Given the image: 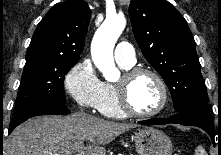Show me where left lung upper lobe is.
I'll return each instance as SVG.
<instances>
[{
  "mask_svg": "<svg viewBox=\"0 0 221 155\" xmlns=\"http://www.w3.org/2000/svg\"><path fill=\"white\" fill-rule=\"evenodd\" d=\"M129 15L135 39L168 86L174 109L207 101L195 41L184 17L166 0H132Z\"/></svg>",
  "mask_w": 221,
  "mask_h": 155,
  "instance_id": "1",
  "label": "left lung upper lobe"
}]
</instances>
